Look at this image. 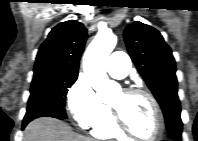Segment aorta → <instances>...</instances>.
Here are the masks:
<instances>
[{
    "label": "aorta",
    "instance_id": "1",
    "mask_svg": "<svg viewBox=\"0 0 198 141\" xmlns=\"http://www.w3.org/2000/svg\"><path fill=\"white\" fill-rule=\"evenodd\" d=\"M116 44L117 37L114 34L99 32L86 49L83 58L87 81L102 102H109L119 90L118 84L109 80L106 73V60Z\"/></svg>",
    "mask_w": 198,
    "mask_h": 141
}]
</instances>
